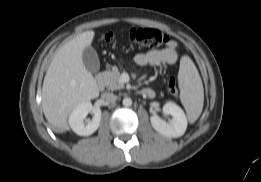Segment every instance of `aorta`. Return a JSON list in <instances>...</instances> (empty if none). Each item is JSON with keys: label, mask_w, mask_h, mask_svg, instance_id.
<instances>
[{"label": "aorta", "mask_w": 261, "mask_h": 182, "mask_svg": "<svg viewBox=\"0 0 261 182\" xmlns=\"http://www.w3.org/2000/svg\"><path fill=\"white\" fill-rule=\"evenodd\" d=\"M122 103H123V105H124L125 107H129V106L132 105V99L126 97V98L123 99Z\"/></svg>", "instance_id": "1"}]
</instances>
